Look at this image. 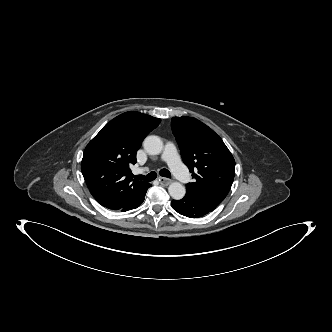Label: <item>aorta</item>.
Returning <instances> with one entry per match:
<instances>
[{
    "label": "aorta",
    "instance_id": "obj_1",
    "mask_svg": "<svg viewBox=\"0 0 332 332\" xmlns=\"http://www.w3.org/2000/svg\"><path fill=\"white\" fill-rule=\"evenodd\" d=\"M145 151L150 155H158L163 150V142L160 137L155 135L147 136L143 141ZM170 196L175 200H180L185 196L186 189L179 182H173L168 188Z\"/></svg>",
    "mask_w": 332,
    "mask_h": 332
}]
</instances>
